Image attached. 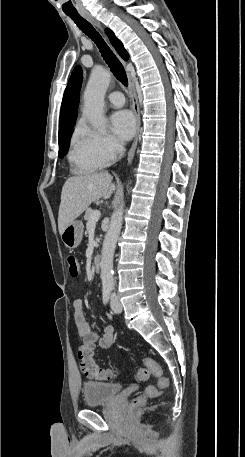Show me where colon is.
I'll return each instance as SVG.
<instances>
[{"instance_id":"obj_1","label":"colon","mask_w":245,"mask_h":457,"mask_svg":"<svg viewBox=\"0 0 245 457\" xmlns=\"http://www.w3.org/2000/svg\"><path fill=\"white\" fill-rule=\"evenodd\" d=\"M66 263L71 277H78L79 264L77 258L73 254L66 256ZM78 359L83 373L91 378L98 380L109 381L116 376V371L111 369H104L100 367L95 359V352L93 345L84 344L79 348ZM151 375L157 378V388L154 386H147L142 394L133 399L131 406L133 408L140 407L151 398L158 394V390H165L169 386V379L163 374L161 366L151 358L143 359V366L136 372V378L140 381H147Z\"/></svg>"}]
</instances>
